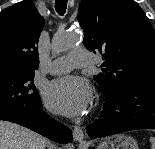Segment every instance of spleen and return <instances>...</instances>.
<instances>
[{"label":"spleen","mask_w":155,"mask_h":149,"mask_svg":"<svg viewBox=\"0 0 155 149\" xmlns=\"http://www.w3.org/2000/svg\"><path fill=\"white\" fill-rule=\"evenodd\" d=\"M151 149H155V137H150Z\"/></svg>","instance_id":"spleen-1"}]
</instances>
